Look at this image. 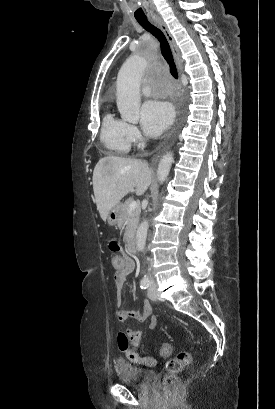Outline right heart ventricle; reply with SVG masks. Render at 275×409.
Segmentation results:
<instances>
[{
    "label": "right heart ventricle",
    "mask_w": 275,
    "mask_h": 409,
    "mask_svg": "<svg viewBox=\"0 0 275 409\" xmlns=\"http://www.w3.org/2000/svg\"><path fill=\"white\" fill-rule=\"evenodd\" d=\"M100 138L111 155H126L131 149L132 140L129 135L128 124L112 114L105 115Z\"/></svg>",
    "instance_id": "1"
}]
</instances>
